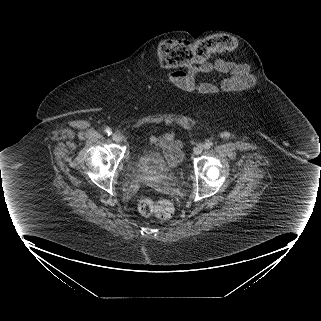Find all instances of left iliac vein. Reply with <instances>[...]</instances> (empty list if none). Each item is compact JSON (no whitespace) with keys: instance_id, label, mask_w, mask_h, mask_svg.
Masks as SVG:
<instances>
[{"instance_id":"1","label":"left iliac vein","mask_w":321,"mask_h":321,"mask_svg":"<svg viewBox=\"0 0 321 321\" xmlns=\"http://www.w3.org/2000/svg\"><path fill=\"white\" fill-rule=\"evenodd\" d=\"M203 151V146L202 145H197L194 150H193V153L194 155H199L201 154Z\"/></svg>"}]
</instances>
